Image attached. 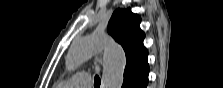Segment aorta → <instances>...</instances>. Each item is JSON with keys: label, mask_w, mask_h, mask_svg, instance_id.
<instances>
[{"label": "aorta", "mask_w": 223, "mask_h": 88, "mask_svg": "<svg viewBox=\"0 0 223 88\" xmlns=\"http://www.w3.org/2000/svg\"><path fill=\"white\" fill-rule=\"evenodd\" d=\"M101 50L104 51L103 87L121 88L124 80L126 56L122 47L107 36L94 33L76 40L69 49L66 64L69 68H75Z\"/></svg>", "instance_id": "aorta-1"}]
</instances>
